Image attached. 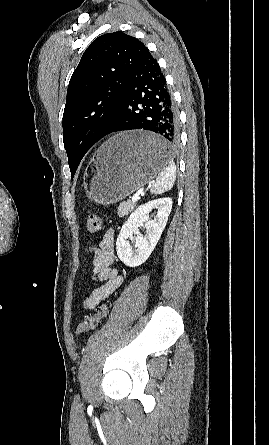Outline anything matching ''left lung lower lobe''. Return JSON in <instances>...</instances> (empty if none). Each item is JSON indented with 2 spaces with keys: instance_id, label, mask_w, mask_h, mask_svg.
<instances>
[{
  "instance_id": "0a47b994",
  "label": "left lung lower lobe",
  "mask_w": 269,
  "mask_h": 445,
  "mask_svg": "<svg viewBox=\"0 0 269 445\" xmlns=\"http://www.w3.org/2000/svg\"><path fill=\"white\" fill-rule=\"evenodd\" d=\"M143 129L157 133L172 146L178 141V115L157 60L146 49L119 102L115 121L103 136Z\"/></svg>"
}]
</instances>
